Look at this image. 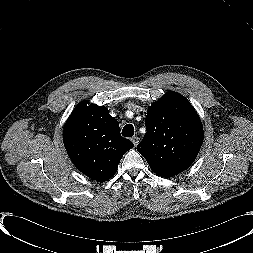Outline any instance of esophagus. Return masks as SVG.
Returning a JSON list of instances; mask_svg holds the SVG:
<instances>
[{
	"instance_id": "34e87169",
	"label": "esophagus",
	"mask_w": 253,
	"mask_h": 253,
	"mask_svg": "<svg viewBox=\"0 0 253 253\" xmlns=\"http://www.w3.org/2000/svg\"><path fill=\"white\" fill-rule=\"evenodd\" d=\"M131 141L133 142L134 147H136L138 145V143H139V138L137 136H133L131 138Z\"/></svg>"
}]
</instances>
